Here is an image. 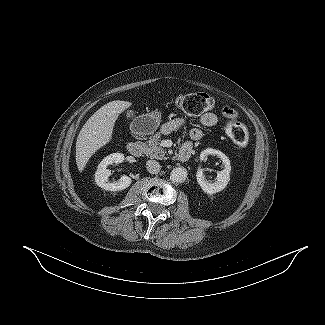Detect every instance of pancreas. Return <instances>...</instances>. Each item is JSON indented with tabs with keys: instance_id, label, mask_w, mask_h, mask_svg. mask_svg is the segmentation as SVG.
Wrapping results in <instances>:
<instances>
[{
	"instance_id": "cf45deb5",
	"label": "pancreas",
	"mask_w": 325,
	"mask_h": 325,
	"mask_svg": "<svg viewBox=\"0 0 325 325\" xmlns=\"http://www.w3.org/2000/svg\"><path fill=\"white\" fill-rule=\"evenodd\" d=\"M160 134H155L154 136L150 137L148 143L144 145V153L146 156L155 159H165L166 150L162 148L160 143Z\"/></svg>"
}]
</instances>
